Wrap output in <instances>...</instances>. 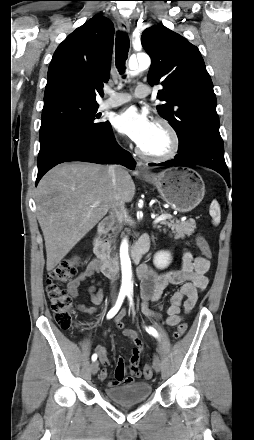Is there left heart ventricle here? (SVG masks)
Masks as SVG:
<instances>
[{
	"mask_svg": "<svg viewBox=\"0 0 254 440\" xmlns=\"http://www.w3.org/2000/svg\"><path fill=\"white\" fill-rule=\"evenodd\" d=\"M169 146L170 137L168 133L164 128L154 125L150 136L140 148L148 154H162L168 150Z\"/></svg>",
	"mask_w": 254,
	"mask_h": 440,
	"instance_id": "1",
	"label": "left heart ventricle"
}]
</instances>
